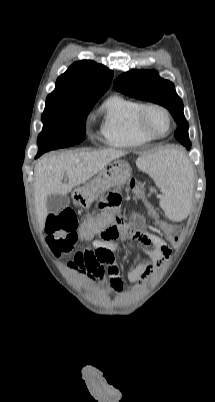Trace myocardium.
Listing matches in <instances>:
<instances>
[{"label":"myocardium","mask_w":215,"mask_h":402,"mask_svg":"<svg viewBox=\"0 0 215 402\" xmlns=\"http://www.w3.org/2000/svg\"><path fill=\"white\" fill-rule=\"evenodd\" d=\"M150 110H158L165 115L168 126H167V130L164 133H155L148 127L147 122H146V116ZM137 126L143 135H145L151 139L163 138V137L167 136L171 131L172 117H171L169 110L166 107H164L163 105L158 104V103H146V104L142 105V107L140 108V110L138 112Z\"/></svg>","instance_id":"1"}]
</instances>
